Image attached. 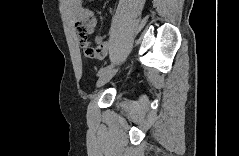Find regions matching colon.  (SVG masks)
<instances>
[{
  "instance_id": "1",
  "label": "colon",
  "mask_w": 239,
  "mask_h": 156,
  "mask_svg": "<svg viewBox=\"0 0 239 156\" xmlns=\"http://www.w3.org/2000/svg\"><path fill=\"white\" fill-rule=\"evenodd\" d=\"M89 25L90 23L88 21L79 23L77 25V32L81 37V42L84 44V50L88 53H92L94 51V48L89 44L87 40V33L90 32Z\"/></svg>"
}]
</instances>
